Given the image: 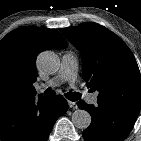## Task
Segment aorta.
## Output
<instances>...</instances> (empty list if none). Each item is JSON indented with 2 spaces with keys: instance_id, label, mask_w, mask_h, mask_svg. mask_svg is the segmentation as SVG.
I'll list each match as a JSON object with an SVG mask.
<instances>
[{
  "instance_id": "aorta-1",
  "label": "aorta",
  "mask_w": 141,
  "mask_h": 141,
  "mask_svg": "<svg viewBox=\"0 0 141 141\" xmlns=\"http://www.w3.org/2000/svg\"><path fill=\"white\" fill-rule=\"evenodd\" d=\"M37 66L39 70L47 74H53L58 71L60 60L53 51H43L37 57ZM72 122L75 127L84 130L90 126L91 116L87 111L77 109L72 114Z\"/></svg>"
}]
</instances>
